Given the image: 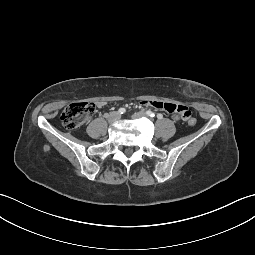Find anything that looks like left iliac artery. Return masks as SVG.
<instances>
[{"instance_id":"1","label":"left iliac artery","mask_w":255,"mask_h":255,"mask_svg":"<svg viewBox=\"0 0 255 255\" xmlns=\"http://www.w3.org/2000/svg\"><path fill=\"white\" fill-rule=\"evenodd\" d=\"M146 114L148 116H150V117H154L155 116V114L152 111H150V110L146 111Z\"/></svg>"}]
</instances>
